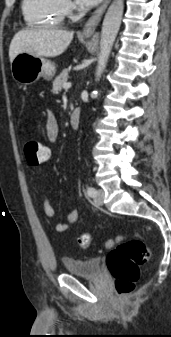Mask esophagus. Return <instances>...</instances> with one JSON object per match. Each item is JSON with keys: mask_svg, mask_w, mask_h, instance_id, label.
Listing matches in <instances>:
<instances>
[{"mask_svg": "<svg viewBox=\"0 0 171 337\" xmlns=\"http://www.w3.org/2000/svg\"><path fill=\"white\" fill-rule=\"evenodd\" d=\"M109 3H110V0H104L103 3L94 11V13L89 18V20L86 22L83 28L82 33L84 35L88 36L94 33Z\"/></svg>", "mask_w": 171, "mask_h": 337, "instance_id": "esophagus-1", "label": "esophagus"}]
</instances>
